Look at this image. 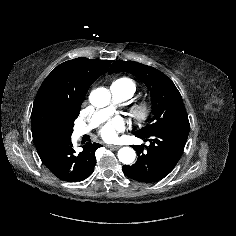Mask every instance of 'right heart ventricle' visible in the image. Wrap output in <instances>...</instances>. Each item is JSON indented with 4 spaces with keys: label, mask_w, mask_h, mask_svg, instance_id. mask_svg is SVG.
<instances>
[{
    "label": "right heart ventricle",
    "mask_w": 236,
    "mask_h": 236,
    "mask_svg": "<svg viewBox=\"0 0 236 236\" xmlns=\"http://www.w3.org/2000/svg\"><path fill=\"white\" fill-rule=\"evenodd\" d=\"M113 83L119 84L120 86L126 88L129 92V98L133 96L137 89L136 83L127 77L118 78Z\"/></svg>",
    "instance_id": "right-heart-ventricle-1"
}]
</instances>
